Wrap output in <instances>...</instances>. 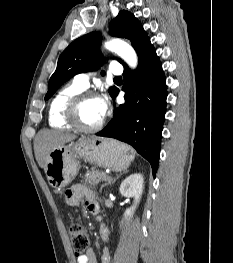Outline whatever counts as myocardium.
<instances>
[{
	"mask_svg": "<svg viewBox=\"0 0 233 263\" xmlns=\"http://www.w3.org/2000/svg\"><path fill=\"white\" fill-rule=\"evenodd\" d=\"M90 98H99V96L92 91H82L73 96L67 103L65 110L66 120L78 131L85 133H94L99 131L104 125V118L93 127H86L81 123L79 111L82 104Z\"/></svg>",
	"mask_w": 233,
	"mask_h": 263,
	"instance_id": "myocardium-1",
	"label": "myocardium"
}]
</instances>
